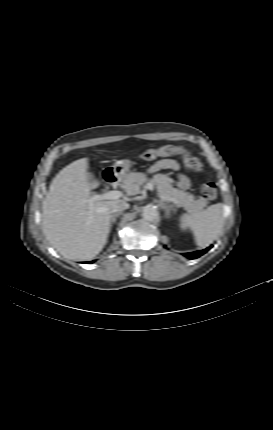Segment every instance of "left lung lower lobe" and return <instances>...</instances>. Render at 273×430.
<instances>
[{
    "label": "left lung lower lobe",
    "instance_id": "0a47b994",
    "mask_svg": "<svg viewBox=\"0 0 273 430\" xmlns=\"http://www.w3.org/2000/svg\"><path fill=\"white\" fill-rule=\"evenodd\" d=\"M209 249H210V247H208L204 250H198V251H194V252H190V253H184L183 255L187 258L196 259V258L200 257L201 255H203L204 253H206Z\"/></svg>",
    "mask_w": 273,
    "mask_h": 430
}]
</instances>
